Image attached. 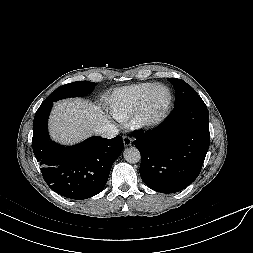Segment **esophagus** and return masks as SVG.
I'll list each match as a JSON object with an SVG mask.
<instances>
[{"label": "esophagus", "instance_id": "esophagus-1", "mask_svg": "<svg viewBox=\"0 0 253 253\" xmlns=\"http://www.w3.org/2000/svg\"><path fill=\"white\" fill-rule=\"evenodd\" d=\"M133 142V139L129 136H124L123 137V144L125 147L131 146Z\"/></svg>", "mask_w": 253, "mask_h": 253}]
</instances>
